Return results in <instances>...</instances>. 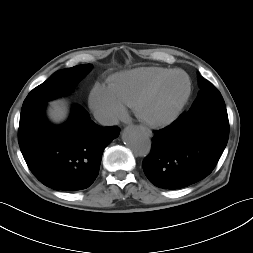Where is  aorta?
<instances>
[{
  "label": "aorta",
  "instance_id": "obj_1",
  "mask_svg": "<svg viewBox=\"0 0 253 253\" xmlns=\"http://www.w3.org/2000/svg\"><path fill=\"white\" fill-rule=\"evenodd\" d=\"M125 145L136 155L146 156L151 150L150 137L139 127H127L122 135Z\"/></svg>",
  "mask_w": 253,
  "mask_h": 253
}]
</instances>
